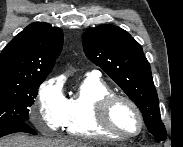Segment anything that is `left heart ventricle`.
<instances>
[{
    "instance_id": "obj_1",
    "label": "left heart ventricle",
    "mask_w": 183,
    "mask_h": 147,
    "mask_svg": "<svg viewBox=\"0 0 183 147\" xmlns=\"http://www.w3.org/2000/svg\"><path fill=\"white\" fill-rule=\"evenodd\" d=\"M110 118L115 128L123 133L135 134L139 131V118L133 108L124 101L113 104Z\"/></svg>"
}]
</instances>
